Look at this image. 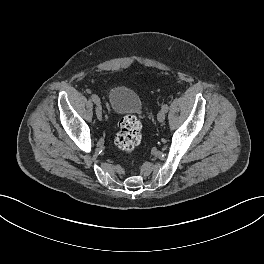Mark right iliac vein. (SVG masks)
I'll return each mask as SVG.
<instances>
[{
    "instance_id": "63e3f726",
    "label": "right iliac vein",
    "mask_w": 264,
    "mask_h": 264,
    "mask_svg": "<svg viewBox=\"0 0 264 264\" xmlns=\"http://www.w3.org/2000/svg\"><path fill=\"white\" fill-rule=\"evenodd\" d=\"M95 111H96V115H97L98 119L101 120L102 119V108H101V105L99 103H96Z\"/></svg>"
}]
</instances>
